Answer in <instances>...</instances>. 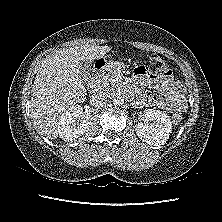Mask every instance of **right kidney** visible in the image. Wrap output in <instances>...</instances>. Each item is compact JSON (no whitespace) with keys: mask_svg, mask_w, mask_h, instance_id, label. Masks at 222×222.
<instances>
[{"mask_svg":"<svg viewBox=\"0 0 222 222\" xmlns=\"http://www.w3.org/2000/svg\"><path fill=\"white\" fill-rule=\"evenodd\" d=\"M91 121L92 115L90 113H84L79 105L72 107L61 121L59 136L64 141L72 142L88 130Z\"/></svg>","mask_w":222,"mask_h":222,"instance_id":"right-kidney-1","label":"right kidney"}]
</instances>
